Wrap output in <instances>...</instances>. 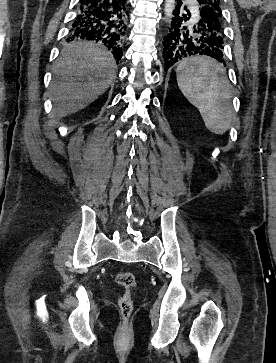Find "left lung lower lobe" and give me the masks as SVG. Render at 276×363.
<instances>
[{"mask_svg": "<svg viewBox=\"0 0 276 363\" xmlns=\"http://www.w3.org/2000/svg\"><path fill=\"white\" fill-rule=\"evenodd\" d=\"M184 10L187 12H184ZM171 27L163 41V67L167 72L175 63L190 56L207 55L223 62V25L216 12L201 5L193 23L191 13L177 0Z\"/></svg>", "mask_w": 276, "mask_h": 363, "instance_id": "obj_1", "label": "left lung lower lobe"}]
</instances>
